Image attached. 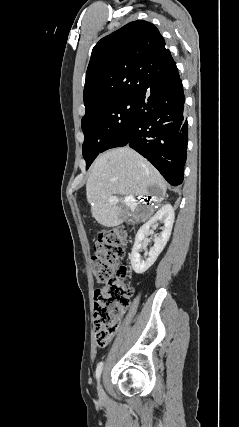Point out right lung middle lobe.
<instances>
[{
  "instance_id": "obj_1",
  "label": "right lung middle lobe",
  "mask_w": 239,
  "mask_h": 427,
  "mask_svg": "<svg viewBox=\"0 0 239 427\" xmlns=\"http://www.w3.org/2000/svg\"><path fill=\"white\" fill-rule=\"evenodd\" d=\"M135 102L136 98H118L96 103L86 110L81 121L86 169L99 153L127 141Z\"/></svg>"
}]
</instances>
